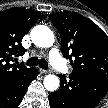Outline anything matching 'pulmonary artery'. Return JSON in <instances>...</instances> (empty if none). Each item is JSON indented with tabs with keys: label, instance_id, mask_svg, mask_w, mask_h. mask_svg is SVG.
<instances>
[{
	"label": "pulmonary artery",
	"instance_id": "obj_1",
	"mask_svg": "<svg viewBox=\"0 0 108 108\" xmlns=\"http://www.w3.org/2000/svg\"><path fill=\"white\" fill-rule=\"evenodd\" d=\"M49 59L52 65L59 71L64 72V73L68 71V67L66 63L64 62V60L62 59V57L60 56L56 48H53L50 50Z\"/></svg>",
	"mask_w": 108,
	"mask_h": 108
}]
</instances>
